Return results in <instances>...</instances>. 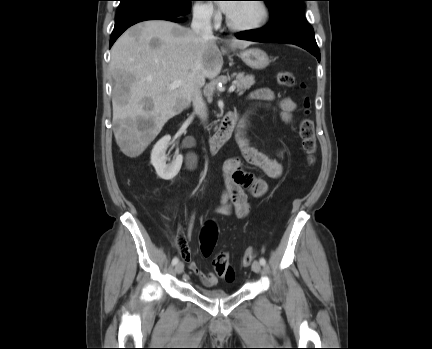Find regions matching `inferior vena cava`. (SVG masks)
<instances>
[{"instance_id":"602c4592","label":"inferior vena cava","mask_w":432,"mask_h":349,"mask_svg":"<svg viewBox=\"0 0 432 349\" xmlns=\"http://www.w3.org/2000/svg\"><path fill=\"white\" fill-rule=\"evenodd\" d=\"M191 29L199 37L205 39L213 38L211 11L206 8L194 10ZM193 108L195 113L199 115L203 121H205L207 118V107L202 98L200 87H196L194 91Z\"/></svg>"}]
</instances>
